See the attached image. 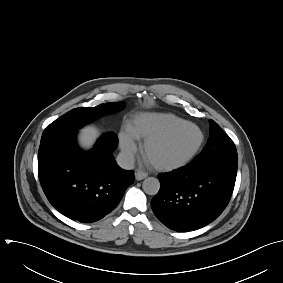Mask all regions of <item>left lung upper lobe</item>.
Returning a JSON list of instances; mask_svg holds the SVG:
<instances>
[{"instance_id":"obj_1","label":"left lung upper lobe","mask_w":283,"mask_h":283,"mask_svg":"<svg viewBox=\"0 0 283 283\" xmlns=\"http://www.w3.org/2000/svg\"><path fill=\"white\" fill-rule=\"evenodd\" d=\"M190 165H220L237 169L238 155L235 145L220 126L210 120V137L202 152Z\"/></svg>"}]
</instances>
